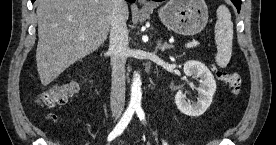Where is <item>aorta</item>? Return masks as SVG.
Listing matches in <instances>:
<instances>
[{"mask_svg": "<svg viewBox=\"0 0 276 145\" xmlns=\"http://www.w3.org/2000/svg\"><path fill=\"white\" fill-rule=\"evenodd\" d=\"M142 92H141V78L138 73H135L131 85L130 106L139 107L141 105Z\"/></svg>", "mask_w": 276, "mask_h": 145, "instance_id": "obj_1", "label": "aorta"}]
</instances>
